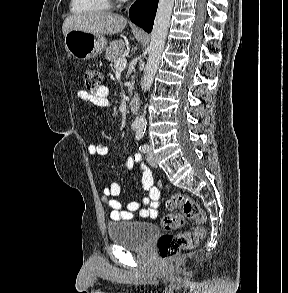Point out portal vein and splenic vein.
Here are the masks:
<instances>
[{
    "label": "portal vein and splenic vein",
    "mask_w": 288,
    "mask_h": 293,
    "mask_svg": "<svg viewBox=\"0 0 288 293\" xmlns=\"http://www.w3.org/2000/svg\"><path fill=\"white\" fill-rule=\"evenodd\" d=\"M127 65V60L126 58L123 56V57H120L118 58L115 62H114V68L115 69H124Z\"/></svg>",
    "instance_id": "18ae733b"
}]
</instances>
